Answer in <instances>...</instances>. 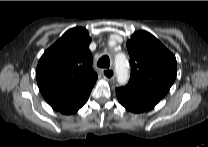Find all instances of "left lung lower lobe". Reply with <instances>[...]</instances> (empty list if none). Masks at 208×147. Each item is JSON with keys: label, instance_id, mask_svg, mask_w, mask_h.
I'll return each instance as SVG.
<instances>
[{"label": "left lung lower lobe", "instance_id": "0a47b994", "mask_svg": "<svg viewBox=\"0 0 208 147\" xmlns=\"http://www.w3.org/2000/svg\"><path fill=\"white\" fill-rule=\"evenodd\" d=\"M116 95L120 104L134 113L148 111L161 100L155 95L129 86L117 88Z\"/></svg>", "mask_w": 208, "mask_h": 147}]
</instances>
